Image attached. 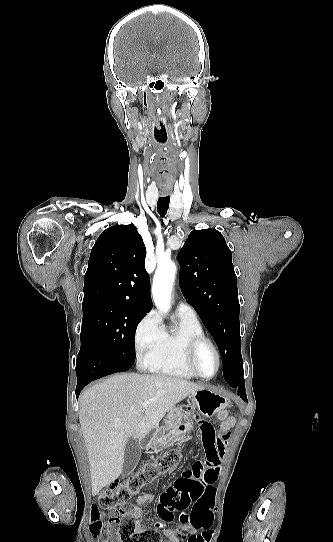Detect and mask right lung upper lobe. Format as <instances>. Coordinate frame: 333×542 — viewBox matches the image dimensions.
Segmentation results:
<instances>
[{"instance_id":"cb5924a9","label":"right lung upper lobe","mask_w":333,"mask_h":542,"mask_svg":"<svg viewBox=\"0 0 333 542\" xmlns=\"http://www.w3.org/2000/svg\"><path fill=\"white\" fill-rule=\"evenodd\" d=\"M145 256L144 242L133 224L103 231L91 250L82 306L111 304L149 312L152 300Z\"/></svg>"}]
</instances>
